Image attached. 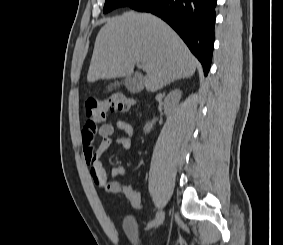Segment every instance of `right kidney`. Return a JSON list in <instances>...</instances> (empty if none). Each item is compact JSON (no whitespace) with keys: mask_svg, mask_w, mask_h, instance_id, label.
Returning a JSON list of instances; mask_svg holds the SVG:
<instances>
[{"mask_svg":"<svg viewBox=\"0 0 283 245\" xmlns=\"http://www.w3.org/2000/svg\"><path fill=\"white\" fill-rule=\"evenodd\" d=\"M182 92L179 89H176L174 91H171L165 98L164 103H165V110L167 112L171 111L175 105L179 102L181 98ZM152 128V123H147L146 126L144 127L145 133H148L150 129Z\"/></svg>","mask_w":283,"mask_h":245,"instance_id":"obj_1","label":"right kidney"}]
</instances>
